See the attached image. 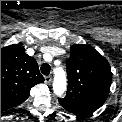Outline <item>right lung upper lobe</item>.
<instances>
[{"mask_svg":"<svg viewBox=\"0 0 122 122\" xmlns=\"http://www.w3.org/2000/svg\"><path fill=\"white\" fill-rule=\"evenodd\" d=\"M44 77L36 60L25 53L20 44L1 48V109L6 110L23 103L30 90Z\"/></svg>","mask_w":122,"mask_h":122,"instance_id":"1","label":"right lung upper lobe"}]
</instances>
